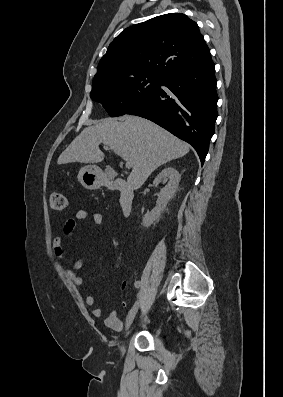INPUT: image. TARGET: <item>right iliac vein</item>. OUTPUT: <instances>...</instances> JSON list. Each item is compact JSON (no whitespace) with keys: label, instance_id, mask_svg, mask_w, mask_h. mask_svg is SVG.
<instances>
[{"label":"right iliac vein","instance_id":"obj_1","mask_svg":"<svg viewBox=\"0 0 283 397\" xmlns=\"http://www.w3.org/2000/svg\"><path fill=\"white\" fill-rule=\"evenodd\" d=\"M138 309H139V302H138V305L133 306L131 311L129 312V315H128L127 320H126V331L131 326V324H132V322H133V320H134V318H135V316H136V314L138 312ZM120 350H121V353L125 352V343L124 342L122 343V345L120 347Z\"/></svg>","mask_w":283,"mask_h":397}]
</instances>
